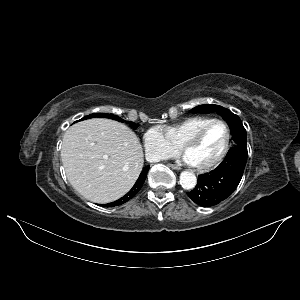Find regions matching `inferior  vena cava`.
<instances>
[{
    "instance_id": "obj_1",
    "label": "inferior vena cava",
    "mask_w": 300,
    "mask_h": 300,
    "mask_svg": "<svg viewBox=\"0 0 300 300\" xmlns=\"http://www.w3.org/2000/svg\"><path fill=\"white\" fill-rule=\"evenodd\" d=\"M164 159V156L160 153H154V152H151V151H147L146 152V160L148 162H158L160 160Z\"/></svg>"
}]
</instances>
